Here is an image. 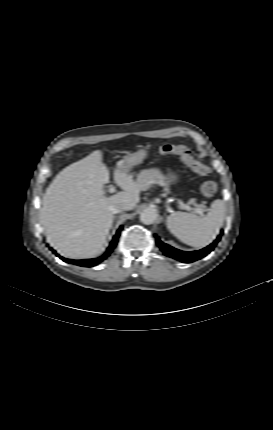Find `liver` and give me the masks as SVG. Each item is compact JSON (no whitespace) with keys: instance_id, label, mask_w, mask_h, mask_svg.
Returning a JSON list of instances; mask_svg holds the SVG:
<instances>
[{"instance_id":"6515ba94","label":"liver","mask_w":273,"mask_h":430,"mask_svg":"<svg viewBox=\"0 0 273 430\" xmlns=\"http://www.w3.org/2000/svg\"><path fill=\"white\" fill-rule=\"evenodd\" d=\"M123 190L106 196L109 171L100 150L72 163L56 175L46 190L40 213L47 242L67 258H92L103 250L113 223L109 207L117 202L132 210L140 201L141 187L126 171L114 169Z\"/></svg>"}]
</instances>
